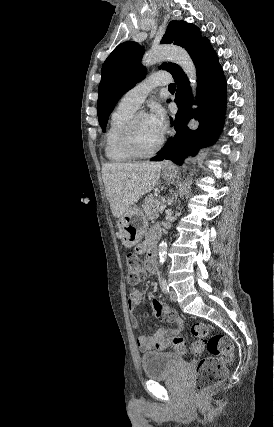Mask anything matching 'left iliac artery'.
Returning <instances> with one entry per match:
<instances>
[{"instance_id":"left-iliac-artery-1","label":"left iliac artery","mask_w":274,"mask_h":427,"mask_svg":"<svg viewBox=\"0 0 274 427\" xmlns=\"http://www.w3.org/2000/svg\"><path fill=\"white\" fill-rule=\"evenodd\" d=\"M161 288H162V290H163L166 294H168V293L170 292V290H169V285H168V283L166 282V280H162V281H161Z\"/></svg>"}]
</instances>
